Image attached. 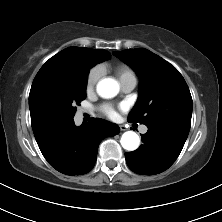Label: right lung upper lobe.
<instances>
[{"mask_svg":"<svg viewBox=\"0 0 222 222\" xmlns=\"http://www.w3.org/2000/svg\"><path fill=\"white\" fill-rule=\"evenodd\" d=\"M111 55L104 49L94 50L85 47H68L52 58H50L37 73L29 94V107L30 113H33V100L36 94L37 86L44 79L45 75L52 69L67 62L75 61L78 59H87L96 63H100L104 60L110 59ZM32 124V122H31ZM45 125L32 124L34 135L39 133Z\"/></svg>","mask_w":222,"mask_h":222,"instance_id":"obj_1","label":"right lung upper lobe"}]
</instances>
